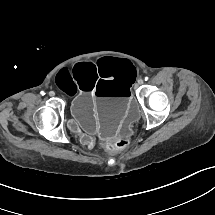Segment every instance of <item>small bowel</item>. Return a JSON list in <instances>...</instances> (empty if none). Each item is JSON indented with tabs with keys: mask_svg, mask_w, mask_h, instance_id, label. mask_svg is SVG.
<instances>
[{
	"mask_svg": "<svg viewBox=\"0 0 215 215\" xmlns=\"http://www.w3.org/2000/svg\"><path fill=\"white\" fill-rule=\"evenodd\" d=\"M70 126L73 128V129H76V125L74 123H71Z\"/></svg>",
	"mask_w": 215,
	"mask_h": 215,
	"instance_id": "1",
	"label": "small bowel"
}]
</instances>
